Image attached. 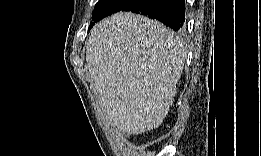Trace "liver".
<instances>
[{"label":"liver","instance_id":"obj_1","mask_svg":"<svg viewBox=\"0 0 261 156\" xmlns=\"http://www.w3.org/2000/svg\"><path fill=\"white\" fill-rule=\"evenodd\" d=\"M187 49L162 23L118 12L97 23L86 62L105 118L127 135L158 128L167 116Z\"/></svg>","mask_w":261,"mask_h":156}]
</instances>
